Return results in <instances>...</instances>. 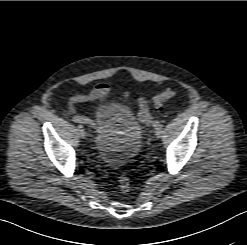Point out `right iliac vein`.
Masks as SVG:
<instances>
[{
    "label": "right iliac vein",
    "instance_id": "63e3f726",
    "mask_svg": "<svg viewBox=\"0 0 247 245\" xmlns=\"http://www.w3.org/2000/svg\"><path fill=\"white\" fill-rule=\"evenodd\" d=\"M78 133H79V135H80L82 138H85L86 132H85V130H84V128H83L82 125H79V126H78Z\"/></svg>",
    "mask_w": 247,
    "mask_h": 245
}]
</instances>
